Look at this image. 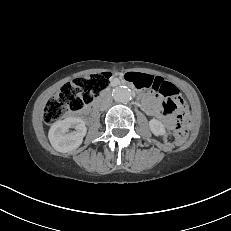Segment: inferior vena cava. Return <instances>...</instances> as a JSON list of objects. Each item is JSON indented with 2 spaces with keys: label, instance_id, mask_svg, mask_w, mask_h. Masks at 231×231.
<instances>
[{
  "label": "inferior vena cava",
  "instance_id": "inferior-vena-cava-1",
  "mask_svg": "<svg viewBox=\"0 0 231 231\" xmlns=\"http://www.w3.org/2000/svg\"><path fill=\"white\" fill-rule=\"evenodd\" d=\"M112 104V98L111 96H107L103 99L102 103H101V110H105L107 108H109Z\"/></svg>",
  "mask_w": 231,
  "mask_h": 231
}]
</instances>
